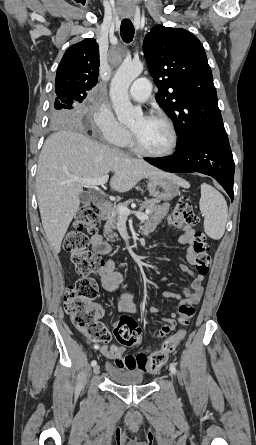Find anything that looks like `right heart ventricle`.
Listing matches in <instances>:
<instances>
[{
	"label": "right heart ventricle",
	"mask_w": 256,
	"mask_h": 445,
	"mask_svg": "<svg viewBox=\"0 0 256 445\" xmlns=\"http://www.w3.org/2000/svg\"><path fill=\"white\" fill-rule=\"evenodd\" d=\"M122 145H124V146H128V147L132 148V144H131V141H130L129 138H128V139L125 141V143L122 144Z\"/></svg>",
	"instance_id": "e07e8e85"
}]
</instances>
